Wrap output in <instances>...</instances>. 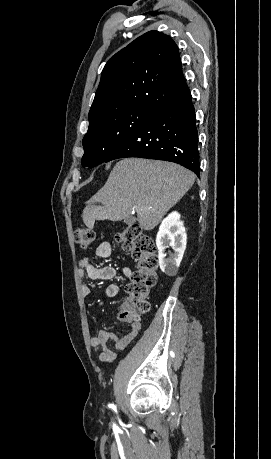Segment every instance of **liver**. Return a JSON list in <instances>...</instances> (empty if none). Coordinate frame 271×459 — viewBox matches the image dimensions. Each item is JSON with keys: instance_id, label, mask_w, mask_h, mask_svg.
Listing matches in <instances>:
<instances>
[{"instance_id": "liver-1", "label": "liver", "mask_w": 271, "mask_h": 459, "mask_svg": "<svg viewBox=\"0 0 271 459\" xmlns=\"http://www.w3.org/2000/svg\"><path fill=\"white\" fill-rule=\"evenodd\" d=\"M195 178L172 162L122 158L105 186L87 202L83 222L93 229L95 220L119 222L130 218L134 210L141 228L153 229L192 188ZM97 202L103 206H93Z\"/></svg>"}]
</instances>
